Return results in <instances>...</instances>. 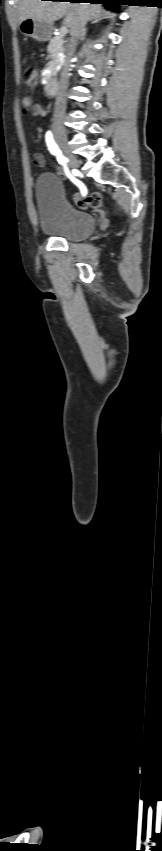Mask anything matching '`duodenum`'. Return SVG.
<instances>
[{
	"label": "duodenum",
	"mask_w": 162,
	"mask_h": 851,
	"mask_svg": "<svg viewBox=\"0 0 162 851\" xmlns=\"http://www.w3.org/2000/svg\"><path fill=\"white\" fill-rule=\"evenodd\" d=\"M57 89H58L57 80L54 79V78H49L44 85L45 94L47 96H54L57 93Z\"/></svg>",
	"instance_id": "410a0bca"
}]
</instances>
